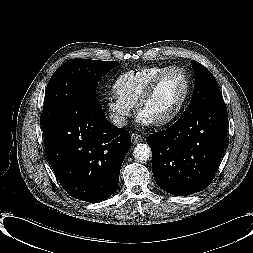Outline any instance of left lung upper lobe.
<instances>
[{"label":"left lung upper lobe","instance_id":"obj_1","mask_svg":"<svg viewBox=\"0 0 253 253\" xmlns=\"http://www.w3.org/2000/svg\"><path fill=\"white\" fill-rule=\"evenodd\" d=\"M195 72V84L192 99L184 111L208 107L218 100H222V95L217 81L211 72L197 61H191Z\"/></svg>","mask_w":253,"mask_h":253}]
</instances>
